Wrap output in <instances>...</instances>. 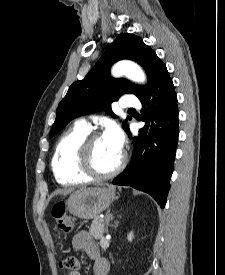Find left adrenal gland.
<instances>
[{
    "mask_svg": "<svg viewBox=\"0 0 225 275\" xmlns=\"http://www.w3.org/2000/svg\"><path fill=\"white\" fill-rule=\"evenodd\" d=\"M113 219V215L110 214V210L107 211L106 213V218H105V221H106V232L108 231V226H109V223L110 221Z\"/></svg>",
    "mask_w": 225,
    "mask_h": 275,
    "instance_id": "a2214340",
    "label": "left adrenal gland"
}]
</instances>
